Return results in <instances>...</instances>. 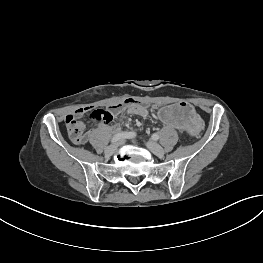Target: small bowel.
<instances>
[{"instance_id":"obj_1","label":"small bowel","mask_w":263,"mask_h":263,"mask_svg":"<svg viewBox=\"0 0 263 263\" xmlns=\"http://www.w3.org/2000/svg\"><path fill=\"white\" fill-rule=\"evenodd\" d=\"M117 104L115 105H112V106H116ZM111 107V106H110ZM126 110L127 113L129 114H132V115H136V116H140V117H146L148 115V109L141 105V104H137V103H130V104H126V105H121L119 107L116 108L115 110V113H114V116H117L118 114H120L122 111ZM92 111V107H88V106H85V107H81L79 109H77L75 112H74V115L76 117H81L83 116L85 113L87 112H90ZM112 120L110 121H104V126L106 127H109L110 123H111ZM170 125V124H169ZM194 134V133H193Z\"/></svg>"}]
</instances>
